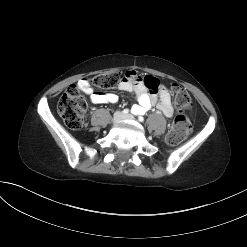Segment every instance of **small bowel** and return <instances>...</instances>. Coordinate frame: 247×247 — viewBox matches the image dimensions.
<instances>
[{"mask_svg":"<svg viewBox=\"0 0 247 247\" xmlns=\"http://www.w3.org/2000/svg\"><path fill=\"white\" fill-rule=\"evenodd\" d=\"M77 88L89 96L91 103H115L117 95L95 91L86 79L77 82ZM119 90L133 94L137 104L132 107L136 115L145 114L153 105L166 116L172 117L174 109L171 103V94L167 88L160 86L159 81L152 76H140L135 71H128L119 83Z\"/></svg>","mask_w":247,"mask_h":247,"instance_id":"c3829d8e","label":"small bowel"}]
</instances>
